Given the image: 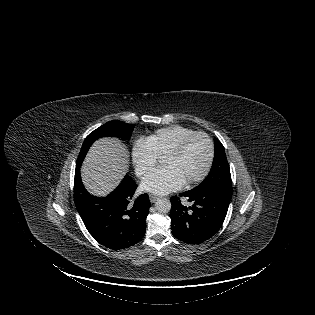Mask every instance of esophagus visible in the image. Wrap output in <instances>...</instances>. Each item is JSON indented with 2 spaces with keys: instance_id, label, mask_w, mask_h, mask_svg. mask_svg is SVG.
I'll use <instances>...</instances> for the list:
<instances>
[{
  "instance_id": "obj_1",
  "label": "esophagus",
  "mask_w": 315,
  "mask_h": 315,
  "mask_svg": "<svg viewBox=\"0 0 315 315\" xmlns=\"http://www.w3.org/2000/svg\"><path fill=\"white\" fill-rule=\"evenodd\" d=\"M149 199H150V202H151V203H154V202L158 199V197L155 196V195H150V196H149Z\"/></svg>"
}]
</instances>
